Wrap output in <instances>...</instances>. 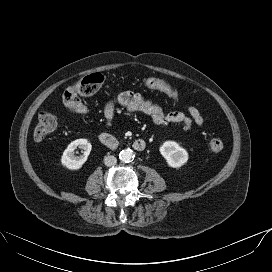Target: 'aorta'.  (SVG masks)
<instances>
[{
	"mask_svg": "<svg viewBox=\"0 0 272 272\" xmlns=\"http://www.w3.org/2000/svg\"><path fill=\"white\" fill-rule=\"evenodd\" d=\"M133 158L134 154L131 149H125L119 153V159L125 163L130 162Z\"/></svg>",
	"mask_w": 272,
	"mask_h": 272,
	"instance_id": "obj_1",
	"label": "aorta"
}]
</instances>
